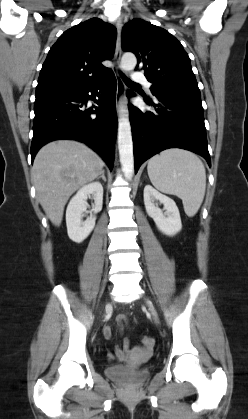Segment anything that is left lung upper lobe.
<instances>
[{
  "label": "left lung upper lobe",
  "instance_id": "5c2ea615",
  "mask_svg": "<svg viewBox=\"0 0 248 419\" xmlns=\"http://www.w3.org/2000/svg\"><path fill=\"white\" fill-rule=\"evenodd\" d=\"M122 48L136 55L154 96H200L190 58L167 30L134 19L123 29Z\"/></svg>",
  "mask_w": 248,
  "mask_h": 419
}]
</instances>
